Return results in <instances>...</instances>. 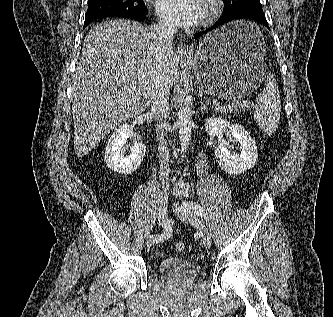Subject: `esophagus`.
Masks as SVG:
<instances>
[{"label":"esophagus","mask_w":333,"mask_h":317,"mask_svg":"<svg viewBox=\"0 0 333 317\" xmlns=\"http://www.w3.org/2000/svg\"><path fill=\"white\" fill-rule=\"evenodd\" d=\"M190 56V50L182 42L178 43L176 49V57L178 59H187Z\"/></svg>","instance_id":"1"}]
</instances>
